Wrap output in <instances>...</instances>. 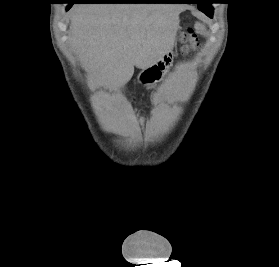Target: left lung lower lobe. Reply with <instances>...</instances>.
Returning a JSON list of instances; mask_svg holds the SVG:
<instances>
[{
    "instance_id": "obj_1",
    "label": "left lung lower lobe",
    "mask_w": 279,
    "mask_h": 267,
    "mask_svg": "<svg viewBox=\"0 0 279 267\" xmlns=\"http://www.w3.org/2000/svg\"><path fill=\"white\" fill-rule=\"evenodd\" d=\"M178 3H197L198 9L206 14L208 17L212 18L213 8L211 7V0H183Z\"/></svg>"
}]
</instances>
